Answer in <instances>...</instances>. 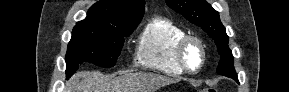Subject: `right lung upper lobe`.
<instances>
[{
    "mask_svg": "<svg viewBox=\"0 0 289 92\" xmlns=\"http://www.w3.org/2000/svg\"><path fill=\"white\" fill-rule=\"evenodd\" d=\"M145 0H100L76 26L120 28L138 25L144 15Z\"/></svg>",
    "mask_w": 289,
    "mask_h": 92,
    "instance_id": "1",
    "label": "right lung upper lobe"
}]
</instances>
